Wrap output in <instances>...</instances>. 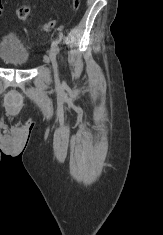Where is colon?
<instances>
[{"instance_id": "1", "label": "colon", "mask_w": 163, "mask_h": 235, "mask_svg": "<svg viewBox=\"0 0 163 235\" xmlns=\"http://www.w3.org/2000/svg\"><path fill=\"white\" fill-rule=\"evenodd\" d=\"M80 6V0H71V7L73 10H78ZM3 11V3L2 0H0V15ZM16 15L21 20H27L30 16V8L27 6H21L17 8ZM56 21L55 20H49L43 24V30L49 31L52 30L55 27Z\"/></svg>"}]
</instances>
